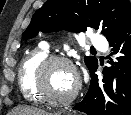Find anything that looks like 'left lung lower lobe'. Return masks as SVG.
I'll list each match as a JSON object with an SVG mask.
<instances>
[{
	"label": "left lung lower lobe",
	"instance_id": "left-lung-lower-lobe-1",
	"mask_svg": "<svg viewBox=\"0 0 131 115\" xmlns=\"http://www.w3.org/2000/svg\"><path fill=\"white\" fill-rule=\"evenodd\" d=\"M112 66L103 70V80L90 71V88L85 98L73 107L87 115H131V19L108 39Z\"/></svg>",
	"mask_w": 131,
	"mask_h": 115
}]
</instances>
